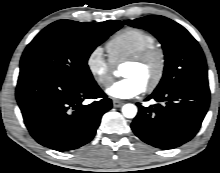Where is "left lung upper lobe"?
<instances>
[{
  "label": "left lung upper lobe",
  "mask_w": 220,
  "mask_h": 173,
  "mask_svg": "<svg viewBox=\"0 0 220 173\" xmlns=\"http://www.w3.org/2000/svg\"><path fill=\"white\" fill-rule=\"evenodd\" d=\"M125 23L151 32L162 44L165 67L154 92L181 85H208L204 54L198 42L180 24L158 15L125 20Z\"/></svg>",
  "instance_id": "5c2ea615"
}]
</instances>
